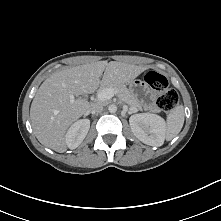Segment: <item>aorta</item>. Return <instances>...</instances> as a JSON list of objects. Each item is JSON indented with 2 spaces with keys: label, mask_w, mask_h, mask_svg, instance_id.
Wrapping results in <instances>:
<instances>
[{
  "label": "aorta",
  "mask_w": 221,
  "mask_h": 221,
  "mask_svg": "<svg viewBox=\"0 0 221 221\" xmlns=\"http://www.w3.org/2000/svg\"><path fill=\"white\" fill-rule=\"evenodd\" d=\"M108 111H109L110 113H115V112L117 111V106H116V105H113V104L109 105Z\"/></svg>",
  "instance_id": "aorta-1"
}]
</instances>
